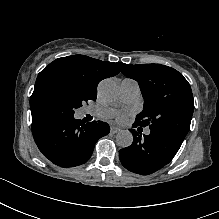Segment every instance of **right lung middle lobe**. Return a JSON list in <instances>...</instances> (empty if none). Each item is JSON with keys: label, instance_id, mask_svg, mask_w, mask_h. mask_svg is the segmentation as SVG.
Wrapping results in <instances>:
<instances>
[{"label": "right lung middle lobe", "instance_id": "obj_1", "mask_svg": "<svg viewBox=\"0 0 219 219\" xmlns=\"http://www.w3.org/2000/svg\"><path fill=\"white\" fill-rule=\"evenodd\" d=\"M88 100L94 99L76 81L49 74L36 81L30 107L53 108L66 115H74V110Z\"/></svg>", "mask_w": 219, "mask_h": 219}]
</instances>
